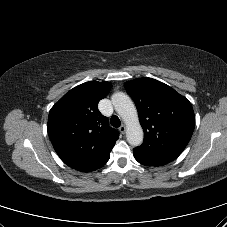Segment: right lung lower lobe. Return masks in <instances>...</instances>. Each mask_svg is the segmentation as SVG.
I'll return each mask as SVG.
<instances>
[{
  "label": "right lung lower lobe",
  "mask_w": 227,
  "mask_h": 227,
  "mask_svg": "<svg viewBox=\"0 0 227 227\" xmlns=\"http://www.w3.org/2000/svg\"><path fill=\"white\" fill-rule=\"evenodd\" d=\"M111 150L108 151L103 157L98 159L96 162L88 164V165H84L82 167L73 168V169L81 171V172H90V171L97 170L107 163V161L110 158Z\"/></svg>",
  "instance_id": "1"
}]
</instances>
